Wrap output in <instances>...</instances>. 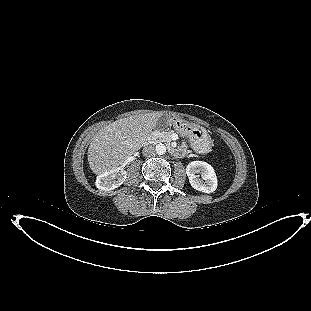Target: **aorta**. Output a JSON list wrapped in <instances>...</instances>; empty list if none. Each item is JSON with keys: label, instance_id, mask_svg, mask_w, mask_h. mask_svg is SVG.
<instances>
[{"label": "aorta", "instance_id": "1", "mask_svg": "<svg viewBox=\"0 0 311 311\" xmlns=\"http://www.w3.org/2000/svg\"><path fill=\"white\" fill-rule=\"evenodd\" d=\"M155 152L158 154V155H163L166 153V146L162 143L160 144H157L156 147H155Z\"/></svg>", "mask_w": 311, "mask_h": 311}]
</instances>
